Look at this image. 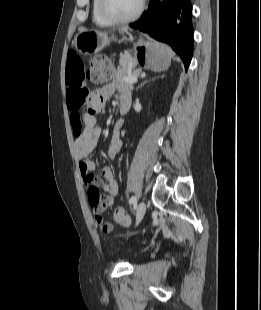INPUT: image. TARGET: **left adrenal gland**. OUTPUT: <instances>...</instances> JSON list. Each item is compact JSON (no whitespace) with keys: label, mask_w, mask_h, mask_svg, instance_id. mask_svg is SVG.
<instances>
[{"label":"left adrenal gland","mask_w":261,"mask_h":310,"mask_svg":"<svg viewBox=\"0 0 261 310\" xmlns=\"http://www.w3.org/2000/svg\"><path fill=\"white\" fill-rule=\"evenodd\" d=\"M161 77H164V75H162ZM154 79H156V78H153V79H149V80L144 81L143 83H141V84L136 88V91H137L138 89L142 88L146 83H148L149 81L154 80Z\"/></svg>","instance_id":"obj_1"}]
</instances>
